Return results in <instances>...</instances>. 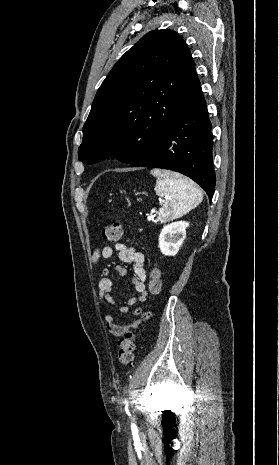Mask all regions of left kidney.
<instances>
[{"label":"left kidney","instance_id":"1","mask_svg":"<svg viewBox=\"0 0 279 465\" xmlns=\"http://www.w3.org/2000/svg\"><path fill=\"white\" fill-rule=\"evenodd\" d=\"M188 222L177 221L163 227L159 235V248L162 254L174 256L179 251L186 237Z\"/></svg>","mask_w":279,"mask_h":465}]
</instances>
